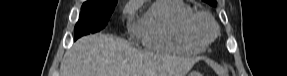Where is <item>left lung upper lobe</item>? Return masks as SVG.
Segmentation results:
<instances>
[{
	"label": "left lung upper lobe",
	"instance_id": "obj_1",
	"mask_svg": "<svg viewBox=\"0 0 287 76\" xmlns=\"http://www.w3.org/2000/svg\"><path fill=\"white\" fill-rule=\"evenodd\" d=\"M203 1L210 4L211 6H216L217 4L216 0H203Z\"/></svg>",
	"mask_w": 287,
	"mask_h": 76
}]
</instances>
